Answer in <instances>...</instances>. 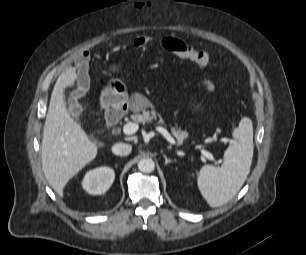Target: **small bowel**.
<instances>
[{"instance_id":"1","label":"small bowel","mask_w":306,"mask_h":255,"mask_svg":"<svg viewBox=\"0 0 306 255\" xmlns=\"http://www.w3.org/2000/svg\"><path fill=\"white\" fill-rule=\"evenodd\" d=\"M88 60V54L87 53H84L81 57V62L84 63Z\"/></svg>"}]
</instances>
